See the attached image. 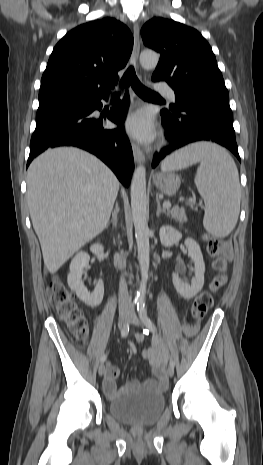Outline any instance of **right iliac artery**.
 <instances>
[{
    "mask_svg": "<svg viewBox=\"0 0 263 465\" xmlns=\"http://www.w3.org/2000/svg\"><path fill=\"white\" fill-rule=\"evenodd\" d=\"M129 328H130L129 323L126 322V323L123 325L122 329H121V336H122V337H126V336L128 335V333H129ZM106 359H107V355H106V354H103L102 357H101V363H104V362L106 361Z\"/></svg>",
    "mask_w": 263,
    "mask_h": 465,
    "instance_id": "1",
    "label": "right iliac artery"
}]
</instances>
